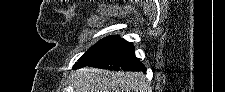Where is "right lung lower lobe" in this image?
I'll return each mask as SVG.
<instances>
[{"mask_svg":"<svg viewBox=\"0 0 225 92\" xmlns=\"http://www.w3.org/2000/svg\"><path fill=\"white\" fill-rule=\"evenodd\" d=\"M87 66L109 70L142 71L146 73L145 66L135 56L132 44L102 56Z\"/></svg>","mask_w":225,"mask_h":92,"instance_id":"obj_1","label":"right lung lower lobe"}]
</instances>
